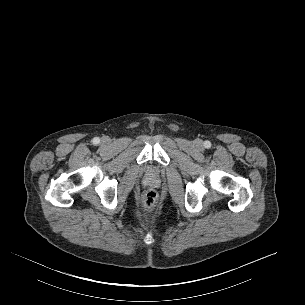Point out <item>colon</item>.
I'll list each match as a JSON object with an SVG mask.
<instances>
[{
	"mask_svg": "<svg viewBox=\"0 0 305 305\" xmlns=\"http://www.w3.org/2000/svg\"><path fill=\"white\" fill-rule=\"evenodd\" d=\"M141 203H142V207L145 210H147V211L152 210L157 203L156 192L153 190H149V191L145 192L144 195L142 196Z\"/></svg>",
	"mask_w": 305,
	"mask_h": 305,
	"instance_id": "1",
	"label": "colon"
}]
</instances>
